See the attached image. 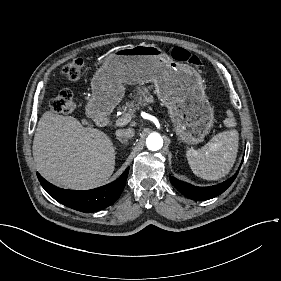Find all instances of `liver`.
Wrapping results in <instances>:
<instances>
[{
  "label": "liver",
  "instance_id": "liver-1",
  "mask_svg": "<svg viewBox=\"0 0 281 281\" xmlns=\"http://www.w3.org/2000/svg\"><path fill=\"white\" fill-rule=\"evenodd\" d=\"M32 149L41 175L67 189L99 187L115 167L114 147L104 132L49 111L38 122Z\"/></svg>",
  "mask_w": 281,
  "mask_h": 281
}]
</instances>
